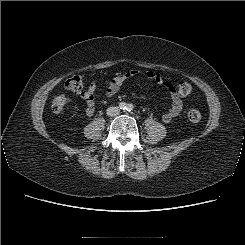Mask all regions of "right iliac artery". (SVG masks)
<instances>
[{
	"instance_id": "obj_1",
	"label": "right iliac artery",
	"mask_w": 245,
	"mask_h": 245,
	"mask_svg": "<svg viewBox=\"0 0 245 245\" xmlns=\"http://www.w3.org/2000/svg\"><path fill=\"white\" fill-rule=\"evenodd\" d=\"M119 108L122 109V110H125V109L127 108V104L124 103V102H121V103L119 104Z\"/></svg>"
}]
</instances>
